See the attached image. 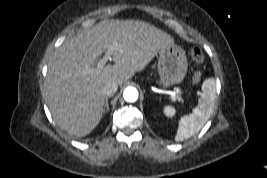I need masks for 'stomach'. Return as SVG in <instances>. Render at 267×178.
Returning a JSON list of instances; mask_svg holds the SVG:
<instances>
[{
    "instance_id": "0dacf381",
    "label": "stomach",
    "mask_w": 267,
    "mask_h": 178,
    "mask_svg": "<svg viewBox=\"0 0 267 178\" xmlns=\"http://www.w3.org/2000/svg\"><path fill=\"white\" fill-rule=\"evenodd\" d=\"M188 68L187 57L183 48L171 44L161 48L158 58L159 84L163 88L183 81Z\"/></svg>"
}]
</instances>
